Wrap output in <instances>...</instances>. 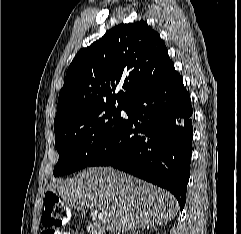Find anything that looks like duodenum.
Listing matches in <instances>:
<instances>
[{"mask_svg": "<svg viewBox=\"0 0 241 234\" xmlns=\"http://www.w3.org/2000/svg\"><path fill=\"white\" fill-rule=\"evenodd\" d=\"M88 230L90 234H104V231L102 230V228L97 225L90 224L88 226Z\"/></svg>", "mask_w": 241, "mask_h": 234, "instance_id": "duodenum-1", "label": "duodenum"}]
</instances>
